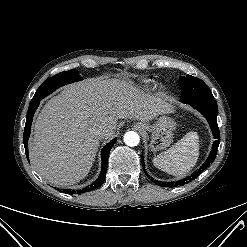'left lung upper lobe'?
Wrapping results in <instances>:
<instances>
[{
  "mask_svg": "<svg viewBox=\"0 0 247 247\" xmlns=\"http://www.w3.org/2000/svg\"><path fill=\"white\" fill-rule=\"evenodd\" d=\"M180 83L182 87V102L213 97L206 84L197 77L191 75L180 77Z\"/></svg>",
  "mask_w": 247,
  "mask_h": 247,
  "instance_id": "5c2ea615",
  "label": "left lung upper lobe"
}]
</instances>
